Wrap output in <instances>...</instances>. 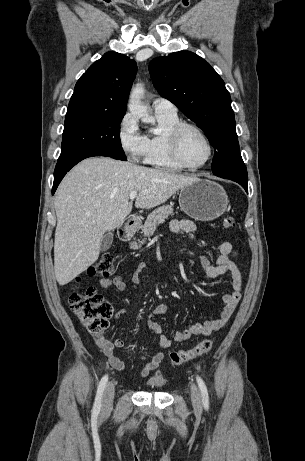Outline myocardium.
I'll use <instances>...</instances> for the list:
<instances>
[{
  "label": "myocardium",
  "mask_w": 305,
  "mask_h": 461,
  "mask_svg": "<svg viewBox=\"0 0 305 461\" xmlns=\"http://www.w3.org/2000/svg\"><path fill=\"white\" fill-rule=\"evenodd\" d=\"M186 130L195 131L203 139V141L205 142L207 146V150H208L207 157L201 164L196 165V166H191L187 164L183 160L181 153H180L181 137ZM168 149H169V153L172 159L174 160V162L178 164L181 168H184L190 171H196V170H199L205 167L209 163L213 155V146L208 136L205 134V132L200 127L192 123H187V122H180L171 129L169 136H168Z\"/></svg>",
  "instance_id": "f54148a6"
}]
</instances>
